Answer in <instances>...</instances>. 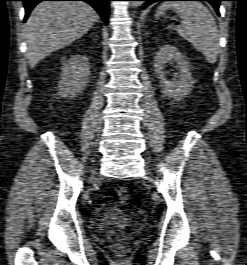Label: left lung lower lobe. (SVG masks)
<instances>
[{
	"label": "left lung lower lobe",
	"instance_id": "obj_1",
	"mask_svg": "<svg viewBox=\"0 0 247 265\" xmlns=\"http://www.w3.org/2000/svg\"><path fill=\"white\" fill-rule=\"evenodd\" d=\"M139 1H145L143 4V9H145L147 6L151 5L152 3H155L157 1H172V0H139ZM196 1H207L209 2L215 9L216 13L220 15L219 13V5L221 1L224 0H196Z\"/></svg>",
	"mask_w": 247,
	"mask_h": 265
}]
</instances>
